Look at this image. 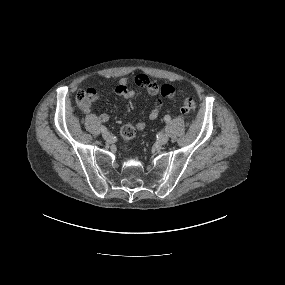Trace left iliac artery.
Masks as SVG:
<instances>
[{
	"mask_svg": "<svg viewBox=\"0 0 285 285\" xmlns=\"http://www.w3.org/2000/svg\"><path fill=\"white\" fill-rule=\"evenodd\" d=\"M170 116L169 115H166L165 117H164V120L166 121V122H169L170 121Z\"/></svg>",
	"mask_w": 285,
	"mask_h": 285,
	"instance_id": "left-iliac-artery-1",
	"label": "left iliac artery"
}]
</instances>
